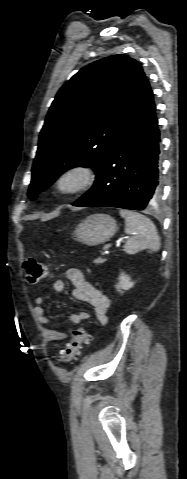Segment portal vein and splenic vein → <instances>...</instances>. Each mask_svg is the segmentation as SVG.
I'll use <instances>...</instances> for the list:
<instances>
[{
  "instance_id": "portal-vein-and-splenic-vein-1",
  "label": "portal vein and splenic vein",
  "mask_w": 187,
  "mask_h": 479,
  "mask_svg": "<svg viewBox=\"0 0 187 479\" xmlns=\"http://www.w3.org/2000/svg\"><path fill=\"white\" fill-rule=\"evenodd\" d=\"M112 246V244H108L104 247L102 251V255L108 254V249Z\"/></svg>"
}]
</instances>
